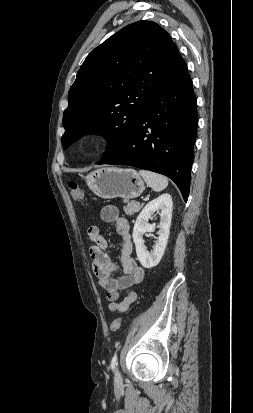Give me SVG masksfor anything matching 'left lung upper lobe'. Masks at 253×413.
Instances as JSON below:
<instances>
[{"label": "left lung upper lobe", "mask_w": 253, "mask_h": 413, "mask_svg": "<svg viewBox=\"0 0 253 413\" xmlns=\"http://www.w3.org/2000/svg\"><path fill=\"white\" fill-rule=\"evenodd\" d=\"M177 46L157 23H132L96 47L81 65L63 113V148L88 133L108 140L100 162L131 138L149 101L170 74Z\"/></svg>", "instance_id": "1"}]
</instances>
